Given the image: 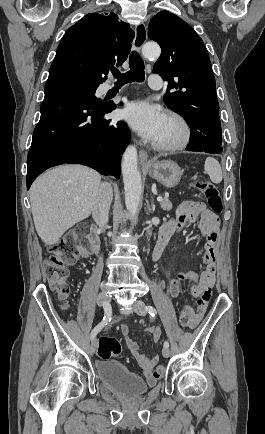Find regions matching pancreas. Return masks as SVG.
Returning <instances> with one entry per match:
<instances>
[{"label":"pancreas","mask_w":265,"mask_h":434,"mask_svg":"<svg viewBox=\"0 0 265 434\" xmlns=\"http://www.w3.org/2000/svg\"><path fill=\"white\" fill-rule=\"evenodd\" d=\"M160 206L162 210H167V212H169V210H172V204L170 200H168V198H163L162 202H160Z\"/></svg>","instance_id":"1"}]
</instances>
